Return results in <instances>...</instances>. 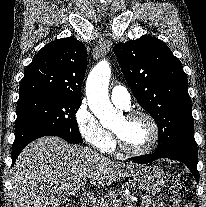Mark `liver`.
<instances>
[{
  "instance_id": "liver-1",
  "label": "liver",
  "mask_w": 206,
  "mask_h": 207,
  "mask_svg": "<svg viewBox=\"0 0 206 207\" xmlns=\"http://www.w3.org/2000/svg\"><path fill=\"white\" fill-rule=\"evenodd\" d=\"M133 163L114 162L90 148L70 145L57 136L31 142L12 170L14 207H60L61 194L89 181L105 187L133 174Z\"/></svg>"
}]
</instances>
